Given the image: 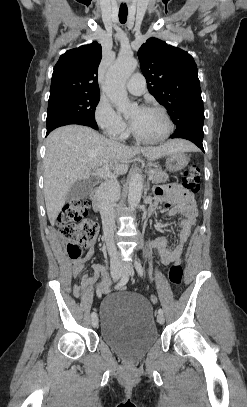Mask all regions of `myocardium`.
Masks as SVG:
<instances>
[{
    "label": "myocardium",
    "mask_w": 247,
    "mask_h": 407,
    "mask_svg": "<svg viewBox=\"0 0 247 407\" xmlns=\"http://www.w3.org/2000/svg\"><path fill=\"white\" fill-rule=\"evenodd\" d=\"M142 109H148V110H155L158 111L159 113L162 114V116L164 117V119L166 120L167 123V131L165 132V134L163 136H161L160 138L157 139H145L142 138L140 135H138V133L135 131L133 125L131 123H129V131L132 135V137L141 144H146V145H154V144H159L164 142L166 139H168L170 137V135L173 133L174 130V123L172 121L171 116L169 115V113L167 112V110L160 106V105H156V104H148V105H144L141 107Z\"/></svg>",
    "instance_id": "f54148a6"
}]
</instances>
